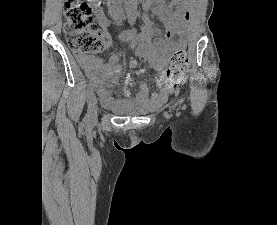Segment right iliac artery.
<instances>
[{"label": "right iliac artery", "mask_w": 277, "mask_h": 225, "mask_svg": "<svg viewBox=\"0 0 277 225\" xmlns=\"http://www.w3.org/2000/svg\"><path fill=\"white\" fill-rule=\"evenodd\" d=\"M86 95H87V99L89 102L91 96L93 95V87L92 86H88ZM88 118H89V114L87 115L86 120H89Z\"/></svg>", "instance_id": "82829eb1"}]
</instances>
